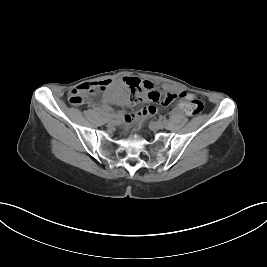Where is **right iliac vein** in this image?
<instances>
[{
	"label": "right iliac vein",
	"instance_id": "obj_1",
	"mask_svg": "<svg viewBox=\"0 0 267 267\" xmlns=\"http://www.w3.org/2000/svg\"><path fill=\"white\" fill-rule=\"evenodd\" d=\"M107 122H108L109 124H111V125L115 124V120H113V119H109V120H107Z\"/></svg>",
	"mask_w": 267,
	"mask_h": 267
}]
</instances>
